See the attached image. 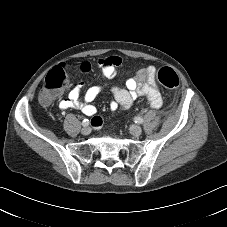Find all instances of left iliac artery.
<instances>
[{
    "instance_id": "44dca946",
    "label": "left iliac artery",
    "mask_w": 227,
    "mask_h": 227,
    "mask_svg": "<svg viewBox=\"0 0 227 227\" xmlns=\"http://www.w3.org/2000/svg\"><path fill=\"white\" fill-rule=\"evenodd\" d=\"M135 123H143V119L141 117L134 118Z\"/></svg>"
}]
</instances>
